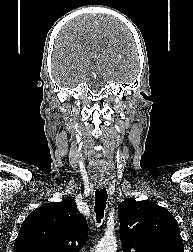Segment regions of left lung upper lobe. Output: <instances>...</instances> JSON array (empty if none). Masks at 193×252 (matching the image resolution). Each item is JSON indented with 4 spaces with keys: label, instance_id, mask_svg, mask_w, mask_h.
<instances>
[{
    "label": "left lung upper lobe",
    "instance_id": "5c2ea615",
    "mask_svg": "<svg viewBox=\"0 0 193 252\" xmlns=\"http://www.w3.org/2000/svg\"><path fill=\"white\" fill-rule=\"evenodd\" d=\"M118 217L123 252H184L179 225L164 207L128 198Z\"/></svg>",
    "mask_w": 193,
    "mask_h": 252
}]
</instances>
